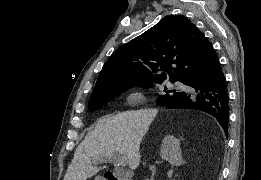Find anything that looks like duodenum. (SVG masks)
Returning <instances> with one entry per match:
<instances>
[{"label": "duodenum", "mask_w": 261, "mask_h": 180, "mask_svg": "<svg viewBox=\"0 0 261 180\" xmlns=\"http://www.w3.org/2000/svg\"><path fill=\"white\" fill-rule=\"evenodd\" d=\"M104 180H128V178L122 177V173H105Z\"/></svg>", "instance_id": "obj_1"}]
</instances>
